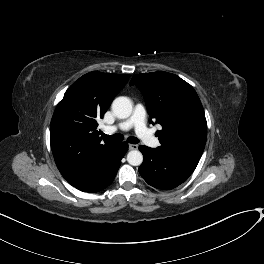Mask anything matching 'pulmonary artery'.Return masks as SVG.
Instances as JSON below:
<instances>
[{"mask_svg": "<svg viewBox=\"0 0 264 264\" xmlns=\"http://www.w3.org/2000/svg\"><path fill=\"white\" fill-rule=\"evenodd\" d=\"M145 109L141 104H136L132 115L125 121L118 125L107 126L105 132L107 134H113L119 130L127 131L131 128L135 129L136 134L146 144L150 146H157L158 140L155 135L145 125Z\"/></svg>", "mask_w": 264, "mask_h": 264, "instance_id": "e3ab8cb5", "label": "pulmonary artery"}]
</instances>
